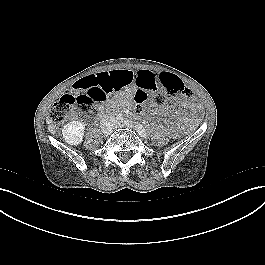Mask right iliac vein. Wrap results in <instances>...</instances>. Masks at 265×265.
<instances>
[{
    "label": "right iliac vein",
    "instance_id": "obj_1",
    "mask_svg": "<svg viewBox=\"0 0 265 265\" xmlns=\"http://www.w3.org/2000/svg\"><path fill=\"white\" fill-rule=\"evenodd\" d=\"M112 129H113V125L112 123H108V125H106L104 128H103V133L104 135H109L111 132H112Z\"/></svg>",
    "mask_w": 265,
    "mask_h": 265
}]
</instances>
